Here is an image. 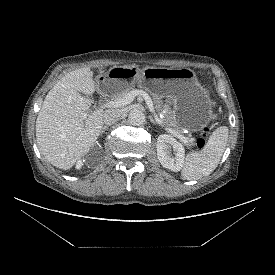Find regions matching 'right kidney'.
Wrapping results in <instances>:
<instances>
[{
	"label": "right kidney",
	"instance_id": "obj_1",
	"mask_svg": "<svg viewBox=\"0 0 275 275\" xmlns=\"http://www.w3.org/2000/svg\"><path fill=\"white\" fill-rule=\"evenodd\" d=\"M82 166H83L82 160H78L77 163H76V168L80 169Z\"/></svg>",
	"mask_w": 275,
	"mask_h": 275
}]
</instances>
